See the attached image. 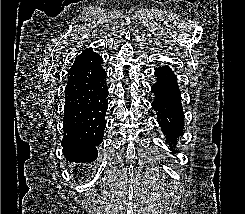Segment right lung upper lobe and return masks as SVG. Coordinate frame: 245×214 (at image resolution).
Segmentation results:
<instances>
[{
    "mask_svg": "<svg viewBox=\"0 0 245 214\" xmlns=\"http://www.w3.org/2000/svg\"><path fill=\"white\" fill-rule=\"evenodd\" d=\"M103 59L92 49H85L80 54L79 75L83 83H89L101 75Z\"/></svg>",
    "mask_w": 245,
    "mask_h": 214,
    "instance_id": "obj_1",
    "label": "right lung upper lobe"
}]
</instances>
